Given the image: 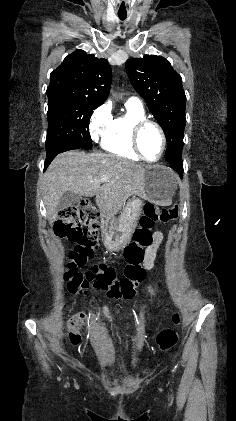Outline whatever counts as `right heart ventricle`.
Listing matches in <instances>:
<instances>
[{
    "label": "right heart ventricle",
    "instance_id": "right-heart-ventricle-1",
    "mask_svg": "<svg viewBox=\"0 0 236 421\" xmlns=\"http://www.w3.org/2000/svg\"><path fill=\"white\" fill-rule=\"evenodd\" d=\"M125 112L120 116L111 118L101 136V148L111 155L130 161H140L134 151L131 141L132 125L146 117L145 110L141 103L127 101Z\"/></svg>",
    "mask_w": 236,
    "mask_h": 421
}]
</instances>
